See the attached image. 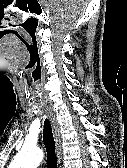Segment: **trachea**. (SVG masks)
I'll return each mask as SVG.
<instances>
[{
  "label": "trachea",
  "instance_id": "1",
  "mask_svg": "<svg viewBox=\"0 0 127 168\" xmlns=\"http://www.w3.org/2000/svg\"><path fill=\"white\" fill-rule=\"evenodd\" d=\"M43 141L47 152V167L57 168V156L54 136L50 121L45 119L43 127Z\"/></svg>",
  "mask_w": 127,
  "mask_h": 168
}]
</instances>
